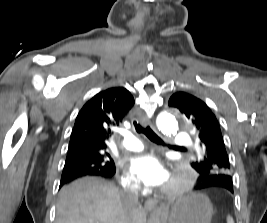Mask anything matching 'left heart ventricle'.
Returning a JSON list of instances; mask_svg holds the SVG:
<instances>
[{
    "label": "left heart ventricle",
    "mask_w": 267,
    "mask_h": 223,
    "mask_svg": "<svg viewBox=\"0 0 267 223\" xmlns=\"http://www.w3.org/2000/svg\"><path fill=\"white\" fill-rule=\"evenodd\" d=\"M174 182H175V180L172 178L171 180H169V182L167 183L166 186H169V185L173 184Z\"/></svg>",
    "instance_id": "left-heart-ventricle-1"
}]
</instances>
